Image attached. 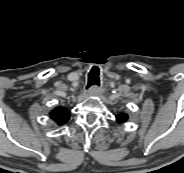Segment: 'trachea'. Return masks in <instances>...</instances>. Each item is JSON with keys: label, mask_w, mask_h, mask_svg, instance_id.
Wrapping results in <instances>:
<instances>
[{"label": "trachea", "mask_w": 184, "mask_h": 173, "mask_svg": "<svg viewBox=\"0 0 184 173\" xmlns=\"http://www.w3.org/2000/svg\"><path fill=\"white\" fill-rule=\"evenodd\" d=\"M97 85L99 86V77H98V72L97 71H90L89 75H88V84H87V88Z\"/></svg>", "instance_id": "trachea-1"}]
</instances>
